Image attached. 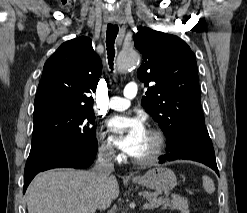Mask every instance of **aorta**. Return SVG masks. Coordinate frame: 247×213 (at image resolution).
<instances>
[{"label":"aorta","mask_w":247,"mask_h":213,"mask_svg":"<svg viewBox=\"0 0 247 213\" xmlns=\"http://www.w3.org/2000/svg\"><path fill=\"white\" fill-rule=\"evenodd\" d=\"M140 56L135 50L121 51L117 60V69L125 73L128 69L139 64Z\"/></svg>","instance_id":"obj_1"}]
</instances>
